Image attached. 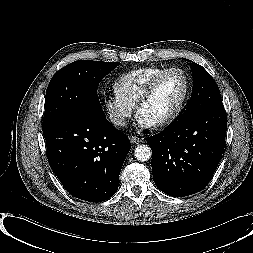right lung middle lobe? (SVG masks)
I'll use <instances>...</instances> for the list:
<instances>
[{"mask_svg":"<svg viewBox=\"0 0 253 253\" xmlns=\"http://www.w3.org/2000/svg\"><path fill=\"white\" fill-rule=\"evenodd\" d=\"M119 64L120 62L80 60L56 72L46 91L43 134H48L78 111L101 109L97 95L98 85Z\"/></svg>","mask_w":253,"mask_h":253,"instance_id":"1","label":"right lung middle lobe"}]
</instances>
